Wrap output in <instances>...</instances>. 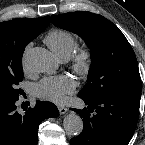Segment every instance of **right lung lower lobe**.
Here are the masks:
<instances>
[{
	"mask_svg": "<svg viewBox=\"0 0 145 145\" xmlns=\"http://www.w3.org/2000/svg\"><path fill=\"white\" fill-rule=\"evenodd\" d=\"M16 101L0 100V145H37L40 122L57 117L59 111L51 102L37 101L21 115L16 111Z\"/></svg>",
	"mask_w": 145,
	"mask_h": 145,
	"instance_id": "right-lung-lower-lobe-1",
	"label": "right lung lower lobe"
}]
</instances>
